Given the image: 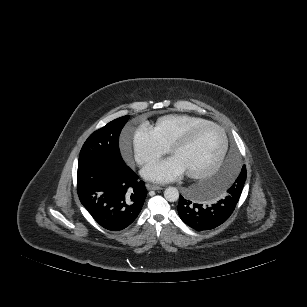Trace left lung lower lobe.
Segmentation results:
<instances>
[{
	"mask_svg": "<svg viewBox=\"0 0 307 307\" xmlns=\"http://www.w3.org/2000/svg\"><path fill=\"white\" fill-rule=\"evenodd\" d=\"M239 198L228 193L216 203L204 206L193 203L180 195L178 214L185 224L197 231L211 230L224 223L230 217Z\"/></svg>",
	"mask_w": 307,
	"mask_h": 307,
	"instance_id": "1",
	"label": "left lung lower lobe"
}]
</instances>
